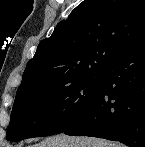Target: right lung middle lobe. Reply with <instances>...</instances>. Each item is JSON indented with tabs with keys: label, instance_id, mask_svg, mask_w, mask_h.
Masks as SVG:
<instances>
[{
	"label": "right lung middle lobe",
	"instance_id": "right-lung-middle-lobe-1",
	"mask_svg": "<svg viewBox=\"0 0 145 147\" xmlns=\"http://www.w3.org/2000/svg\"><path fill=\"white\" fill-rule=\"evenodd\" d=\"M101 73L74 79L55 90L16 94L6 138L11 142L64 132L96 96Z\"/></svg>",
	"mask_w": 145,
	"mask_h": 147
}]
</instances>
